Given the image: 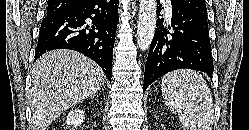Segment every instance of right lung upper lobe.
I'll return each mask as SVG.
<instances>
[{
    "label": "right lung upper lobe",
    "instance_id": "obj_1",
    "mask_svg": "<svg viewBox=\"0 0 249 130\" xmlns=\"http://www.w3.org/2000/svg\"><path fill=\"white\" fill-rule=\"evenodd\" d=\"M80 0H48L47 16L61 13L72 8Z\"/></svg>",
    "mask_w": 249,
    "mask_h": 130
}]
</instances>
